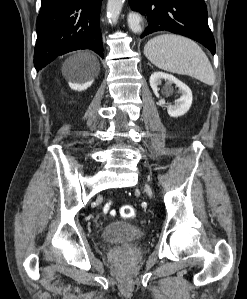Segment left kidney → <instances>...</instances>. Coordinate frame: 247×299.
I'll use <instances>...</instances> for the list:
<instances>
[{
    "label": "left kidney",
    "instance_id": "obj_1",
    "mask_svg": "<svg viewBox=\"0 0 247 299\" xmlns=\"http://www.w3.org/2000/svg\"><path fill=\"white\" fill-rule=\"evenodd\" d=\"M163 79L166 81L165 86L167 88H170L172 84H175L178 87V93L181 94V97L175 101L174 105L168 106L169 116L180 117L184 115L190 109L193 100L190 88L173 75L163 72H154L150 76L149 82L152 90L157 96L159 95L158 86L162 84Z\"/></svg>",
    "mask_w": 247,
    "mask_h": 299
}]
</instances>
